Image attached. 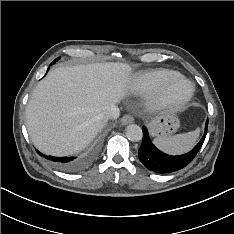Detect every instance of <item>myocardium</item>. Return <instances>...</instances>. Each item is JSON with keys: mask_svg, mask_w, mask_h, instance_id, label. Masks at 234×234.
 <instances>
[{"mask_svg": "<svg viewBox=\"0 0 234 234\" xmlns=\"http://www.w3.org/2000/svg\"><path fill=\"white\" fill-rule=\"evenodd\" d=\"M185 83L188 85V90L182 94L174 93V88L180 84ZM194 95V85L188 79L177 76L160 88H158L150 99V107L159 108V107H172L178 108L183 106L191 100Z\"/></svg>", "mask_w": 234, "mask_h": 234, "instance_id": "obj_1", "label": "myocardium"}]
</instances>
